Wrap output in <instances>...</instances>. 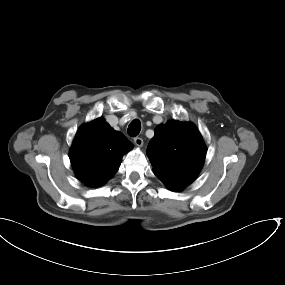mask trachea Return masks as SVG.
<instances>
[{"instance_id":"trachea-1","label":"trachea","mask_w":285,"mask_h":285,"mask_svg":"<svg viewBox=\"0 0 285 285\" xmlns=\"http://www.w3.org/2000/svg\"><path fill=\"white\" fill-rule=\"evenodd\" d=\"M141 130V123L139 120H134L130 123L128 126V134L130 136H137L140 133Z\"/></svg>"}]
</instances>
